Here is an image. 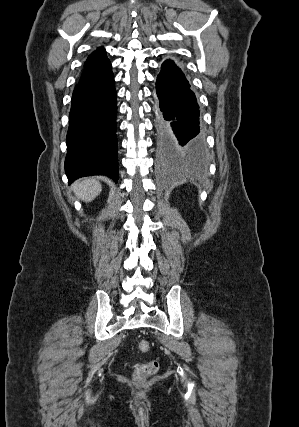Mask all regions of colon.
<instances>
[{
  "instance_id": "1",
  "label": "colon",
  "mask_w": 299,
  "mask_h": 427,
  "mask_svg": "<svg viewBox=\"0 0 299 427\" xmlns=\"http://www.w3.org/2000/svg\"><path fill=\"white\" fill-rule=\"evenodd\" d=\"M138 348L141 352H147L150 348V345L147 341H140ZM158 369V362L155 360L148 361L146 363L140 364L136 367L134 372V377L138 381H142L147 377L153 375Z\"/></svg>"
}]
</instances>
